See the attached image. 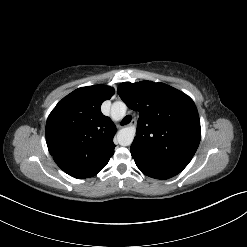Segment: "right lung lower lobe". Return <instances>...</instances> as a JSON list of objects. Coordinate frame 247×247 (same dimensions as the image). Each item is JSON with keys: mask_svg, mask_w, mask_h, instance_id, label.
Returning a JSON list of instances; mask_svg holds the SVG:
<instances>
[{"mask_svg": "<svg viewBox=\"0 0 247 247\" xmlns=\"http://www.w3.org/2000/svg\"><path fill=\"white\" fill-rule=\"evenodd\" d=\"M107 163H108V162H107ZM107 163H106V164H107ZM106 164H105V165H106ZM105 165H104V166H105ZM104 166H102L99 170H97V171H96L94 174H92L90 177L96 175V174H97Z\"/></svg>", "mask_w": 247, "mask_h": 247, "instance_id": "right-lung-lower-lobe-1", "label": "right lung lower lobe"}]
</instances>
